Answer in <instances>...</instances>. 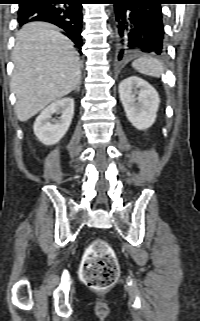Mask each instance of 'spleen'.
<instances>
[{"label": "spleen", "instance_id": "1", "mask_svg": "<svg viewBox=\"0 0 200 321\" xmlns=\"http://www.w3.org/2000/svg\"><path fill=\"white\" fill-rule=\"evenodd\" d=\"M132 67L141 74L153 77H160L164 73L162 63L158 59L149 56H143L136 59L133 61Z\"/></svg>", "mask_w": 200, "mask_h": 321}]
</instances>
